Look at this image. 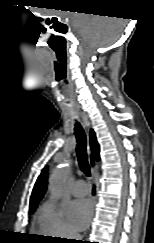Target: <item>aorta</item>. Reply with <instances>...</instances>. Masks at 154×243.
Here are the masks:
<instances>
[{
    "mask_svg": "<svg viewBox=\"0 0 154 243\" xmlns=\"http://www.w3.org/2000/svg\"><path fill=\"white\" fill-rule=\"evenodd\" d=\"M71 171V165L69 161H65L61 166L57 167L49 179V190L51 198L58 200L62 194V187L66 182Z\"/></svg>",
    "mask_w": 154,
    "mask_h": 243,
    "instance_id": "762f6f07",
    "label": "aorta"
}]
</instances>
